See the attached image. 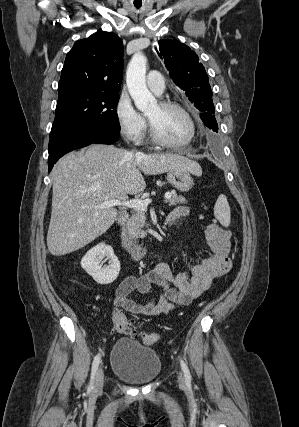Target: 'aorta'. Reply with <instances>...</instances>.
I'll return each mask as SVG.
<instances>
[{"label": "aorta", "mask_w": 299, "mask_h": 427, "mask_svg": "<svg viewBox=\"0 0 299 427\" xmlns=\"http://www.w3.org/2000/svg\"><path fill=\"white\" fill-rule=\"evenodd\" d=\"M146 64V57L137 52L130 60L126 72L129 93L137 109L142 112H149L157 106L155 97L146 86Z\"/></svg>", "instance_id": "aorta-1"}]
</instances>
